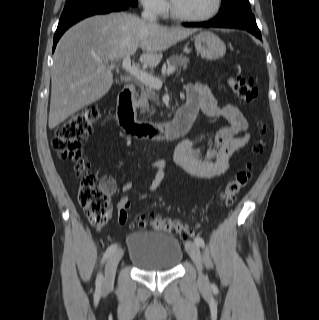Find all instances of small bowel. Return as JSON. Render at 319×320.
<instances>
[{"label":"small bowel","mask_w":319,"mask_h":320,"mask_svg":"<svg viewBox=\"0 0 319 320\" xmlns=\"http://www.w3.org/2000/svg\"><path fill=\"white\" fill-rule=\"evenodd\" d=\"M185 106L194 109L196 113L202 111L212 118H224L229 125L216 132L213 147L208 150L201 149L188 139L179 141L174 148L175 163L196 178L208 179L223 175L228 169L231 156L249 142L246 118L236 105L218 106L211 89L201 83L187 87ZM149 166L158 169L150 186L151 191H156L162 183L167 164L163 161H153L149 163ZM132 188L131 181H122L120 184L123 192H128ZM128 207L129 200L126 197H122L117 203L118 213L122 210L127 212Z\"/></svg>","instance_id":"obj_1"}]
</instances>
